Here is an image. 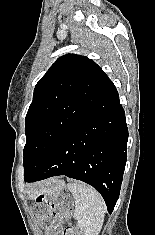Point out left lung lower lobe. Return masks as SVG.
<instances>
[{
    "instance_id": "0a47b994",
    "label": "left lung lower lobe",
    "mask_w": 155,
    "mask_h": 235,
    "mask_svg": "<svg viewBox=\"0 0 155 235\" xmlns=\"http://www.w3.org/2000/svg\"><path fill=\"white\" fill-rule=\"evenodd\" d=\"M128 129L125 113L114 84L65 135L44 165L34 175L35 182L66 175L93 186L112 213L119 198L127 160Z\"/></svg>"
}]
</instances>
